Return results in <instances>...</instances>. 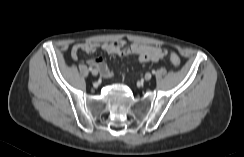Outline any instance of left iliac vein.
I'll use <instances>...</instances> for the list:
<instances>
[{
    "label": "left iliac vein",
    "mask_w": 244,
    "mask_h": 157,
    "mask_svg": "<svg viewBox=\"0 0 244 157\" xmlns=\"http://www.w3.org/2000/svg\"><path fill=\"white\" fill-rule=\"evenodd\" d=\"M151 77H152L151 73H146L145 76H144L146 81L150 80Z\"/></svg>",
    "instance_id": "obj_1"
}]
</instances>
